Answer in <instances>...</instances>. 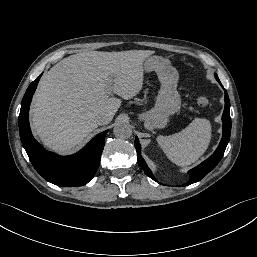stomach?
Here are the masks:
<instances>
[{"label":"stomach","mask_w":257,"mask_h":257,"mask_svg":"<svg viewBox=\"0 0 257 257\" xmlns=\"http://www.w3.org/2000/svg\"><path fill=\"white\" fill-rule=\"evenodd\" d=\"M143 69L146 72L155 71L161 83L155 106L141 114L139 118L144 121L145 128H163L168 117L181 107V98L177 91L178 75L174 73L170 61L160 56H151L144 60Z\"/></svg>","instance_id":"0dacf381"}]
</instances>
